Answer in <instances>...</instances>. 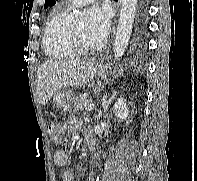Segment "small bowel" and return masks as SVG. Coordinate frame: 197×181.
<instances>
[{"instance_id":"1","label":"small bowel","mask_w":197,"mask_h":181,"mask_svg":"<svg viewBox=\"0 0 197 181\" xmlns=\"http://www.w3.org/2000/svg\"><path fill=\"white\" fill-rule=\"evenodd\" d=\"M80 126L78 119H71L67 127H63L62 130L69 128L75 130ZM87 135V131L85 133ZM55 164L62 169V179L63 181H73V175L69 170L70 158L68 152L65 149L57 150L54 154ZM89 181H94L93 178H90Z\"/></svg>"}]
</instances>
